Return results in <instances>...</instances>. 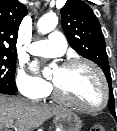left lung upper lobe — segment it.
<instances>
[{
  "mask_svg": "<svg viewBox=\"0 0 117 131\" xmlns=\"http://www.w3.org/2000/svg\"><path fill=\"white\" fill-rule=\"evenodd\" d=\"M62 27L69 44L84 58L98 64L109 86L108 108L116 117L111 74L100 23L92 9L81 0H68L61 8Z\"/></svg>",
  "mask_w": 117,
  "mask_h": 131,
  "instance_id": "obj_1",
  "label": "left lung upper lobe"
}]
</instances>
